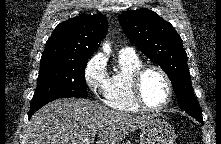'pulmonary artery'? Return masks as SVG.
<instances>
[{
	"instance_id": "pulmonary-artery-1",
	"label": "pulmonary artery",
	"mask_w": 221,
	"mask_h": 144,
	"mask_svg": "<svg viewBox=\"0 0 221 144\" xmlns=\"http://www.w3.org/2000/svg\"><path fill=\"white\" fill-rule=\"evenodd\" d=\"M119 54L126 56H135V51L131 47H124L119 51Z\"/></svg>"
}]
</instances>
